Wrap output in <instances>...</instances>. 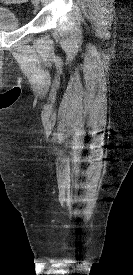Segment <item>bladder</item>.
<instances>
[{
	"label": "bladder",
	"instance_id": "bladder-1",
	"mask_svg": "<svg viewBox=\"0 0 133 275\" xmlns=\"http://www.w3.org/2000/svg\"><path fill=\"white\" fill-rule=\"evenodd\" d=\"M22 26L19 14L15 11L0 6V31H10L18 29Z\"/></svg>",
	"mask_w": 133,
	"mask_h": 275
}]
</instances>
